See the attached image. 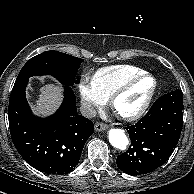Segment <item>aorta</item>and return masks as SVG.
<instances>
[{
  "instance_id": "1",
  "label": "aorta",
  "mask_w": 194,
  "mask_h": 194,
  "mask_svg": "<svg viewBox=\"0 0 194 194\" xmlns=\"http://www.w3.org/2000/svg\"><path fill=\"white\" fill-rule=\"evenodd\" d=\"M110 144L120 150H125L129 140L122 129L113 128L109 130L108 133Z\"/></svg>"
}]
</instances>
